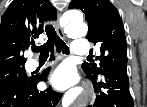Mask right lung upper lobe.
<instances>
[{
    "mask_svg": "<svg viewBox=\"0 0 147 107\" xmlns=\"http://www.w3.org/2000/svg\"><path fill=\"white\" fill-rule=\"evenodd\" d=\"M55 18L49 0H13L0 25V69L24 65V50L43 33L44 22Z\"/></svg>",
    "mask_w": 147,
    "mask_h": 107,
    "instance_id": "cb5924a9",
    "label": "right lung upper lobe"
}]
</instances>
